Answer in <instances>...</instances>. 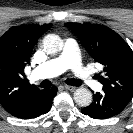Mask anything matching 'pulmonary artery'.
<instances>
[{
    "label": "pulmonary artery",
    "instance_id": "e3ab8cb5",
    "mask_svg": "<svg viewBox=\"0 0 133 133\" xmlns=\"http://www.w3.org/2000/svg\"><path fill=\"white\" fill-rule=\"evenodd\" d=\"M69 69L91 88L101 89V85L93 79L91 72L82 65L77 42L72 38L65 40L63 50L57 57L37 66L33 71V77L34 79L52 78Z\"/></svg>",
    "mask_w": 133,
    "mask_h": 133
}]
</instances>
